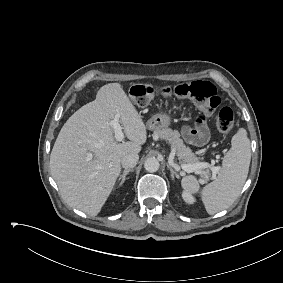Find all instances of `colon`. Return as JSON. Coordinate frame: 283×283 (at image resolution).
<instances>
[{"instance_id": "1", "label": "colon", "mask_w": 283, "mask_h": 283, "mask_svg": "<svg viewBox=\"0 0 283 283\" xmlns=\"http://www.w3.org/2000/svg\"><path fill=\"white\" fill-rule=\"evenodd\" d=\"M156 94L175 95L181 98H191L197 102L205 113H213L220 105V97L216 87L205 80H196L178 84L174 87H155L150 84H137L130 89V98L139 108L146 107ZM234 116L231 108L221 107L216 114V129L221 134L228 133L233 126Z\"/></svg>"}]
</instances>
